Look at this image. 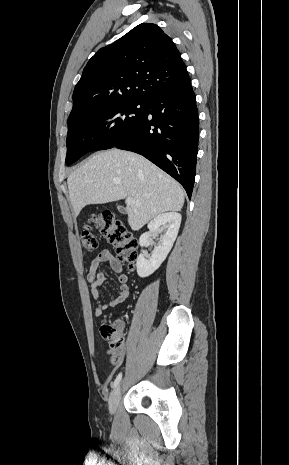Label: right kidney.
Segmentation results:
<instances>
[{
  "mask_svg": "<svg viewBox=\"0 0 289 465\" xmlns=\"http://www.w3.org/2000/svg\"><path fill=\"white\" fill-rule=\"evenodd\" d=\"M180 224L181 215L176 212L159 214L149 222V231L142 234L139 239L141 247L149 246V239L152 235H156L159 231H163V234L160 236V241L151 256L142 251L137 257L136 268L141 278L154 273L166 259L177 237Z\"/></svg>",
  "mask_w": 289,
  "mask_h": 465,
  "instance_id": "1",
  "label": "right kidney"
}]
</instances>
